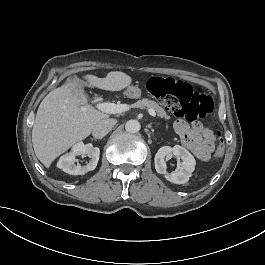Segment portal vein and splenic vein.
Here are the masks:
<instances>
[{
	"label": "portal vein and splenic vein",
	"mask_w": 265,
	"mask_h": 265,
	"mask_svg": "<svg viewBox=\"0 0 265 265\" xmlns=\"http://www.w3.org/2000/svg\"><path fill=\"white\" fill-rule=\"evenodd\" d=\"M97 109L108 114H117L126 112L130 109V105L128 104H115V103H98L96 105ZM149 114L153 117L156 116V112L153 109L148 110Z\"/></svg>",
	"instance_id": "18ae733b"
}]
</instances>
